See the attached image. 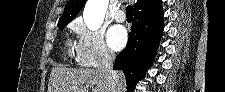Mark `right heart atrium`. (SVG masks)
<instances>
[{"label":"right heart atrium","mask_w":225,"mask_h":92,"mask_svg":"<svg viewBox=\"0 0 225 92\" xmlns=\"http://www.w3.org/2000/svg\"><path fill=\"white\" fill-rule=\"evenodd\" d=\"M72 30L76 35L75 56L81 66L97 67L112 58L102 29H89L82 20H77Z\"/></svg>","instance_id":"right-heart-atrium-1"}]
</instances>
